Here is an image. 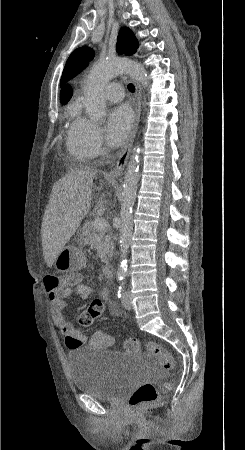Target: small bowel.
Returning <instances> with one entry per match:
<instances>
[{
    "mask_svg": "<svg viewBox=\"0 0 245 450\" xmlns=\"http://www.w3.org/2000/svg\"><path fill=\"white\" fill-rule=\"evenodd\" d=\"M48 277V276H47ZM93 294V289L82 283L69 285L58 291H48L47 297L51 302L50 314L55 325L64 334L72 333L75 327L69 323L65 316L66 302L65 299L71 295H76L83 300L89 299ZM105 301L108 299V290L104 287L101 291ZM111 336L95 332L88 338L86 345L95 348H109L113 345Z\"/></svg>",
    "mask_w": 245,
    "mask_h": 450,
    "instance_id": "obj_1",
    "label": "small bowel"
}]
</instances>
